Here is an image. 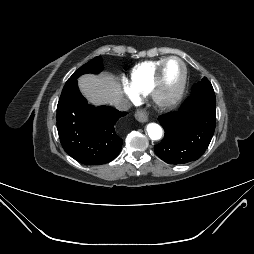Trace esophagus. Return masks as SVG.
Segmentation results:
<instances>
[{"label": "esophagus", "instance_id": "esophagus-1", "mask_svg": "<svg viewBox=\"0 0 254 254\" xmlns=\"http://www.w3.org/2000/svg\"><path fill=\"white\" fill-rule=\"evenodd\" d=\"M135 118L139 121V122H147L149 120V116H148V113L145 111V110H142V109H138L136 112H135Z\"/></svg>", "mask_w": 254, "mask_h": 254}]
</instances>
